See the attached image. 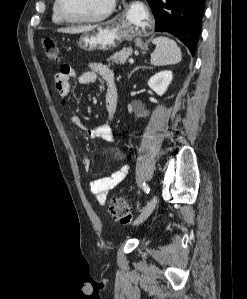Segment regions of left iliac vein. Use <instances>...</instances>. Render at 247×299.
<instances>
[{"label": "left iliac vein", "mask_w": 247, "mask_h": 299, "mask_svg": "<svg viewBox=\"0 0 247 299\" xmlns=\"http://www.w3.org/2000/svg\"><path fill=\"white\" fill-rule=\"evenodd\" d=\"M157 204V196L154 195L151 200L147 203V205L142 210L141 214L138 216V218L134 221V225L141 224L144 222L150 214L153 212L155 206Z\"/></svg>", "instance_id": "1"}]
</instances>
